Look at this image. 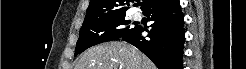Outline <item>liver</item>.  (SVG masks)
Masks as SVG:
<instances>
[{
    "instance_id": "6515ba94",
    "label": "liver",
    "mask_w": 246,
    "mask_h": 69,
    "mask_svg": "<svg viewBox=\"0 0 246 69\" xmlns=\"http://www.w3.org/2000/svg\"><path fill=\"white\" fill-rule=\"evenodd\" d=\"M75 69H156L155 65L136 48L113 41L89 48Z\"/></svg>"
}]
</instances>
